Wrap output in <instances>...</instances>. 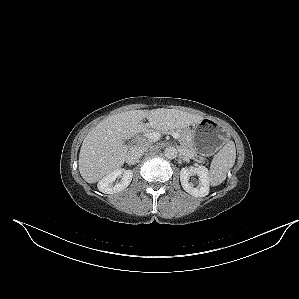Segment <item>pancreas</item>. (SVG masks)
I'll list each match as a JSON object with an SVG mask.
<instances>
[{
    "instance_id": "cf45deb5",
    "label": "pancreas",
    "mask_w": 299,
    "mask_h": 299,
    "mask_svg": "<svg viewBox=\"0 0 299 299\" xmlns=\"http://www.w3.org/2000/svg\"><path fill=\"white\" fill-rule=\"evenodd\" d=\"M163 133H172V132H176L179 134V140L181 145L187 149L190 154H192L194 157H196L199 162H205L206 159L202 156H198L196 151L194 150L193 144L191 142V132L189 129H164L162 130Z\"/></svg>"
}]
</instances>
